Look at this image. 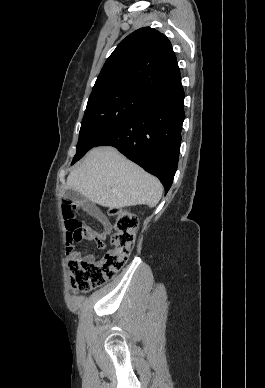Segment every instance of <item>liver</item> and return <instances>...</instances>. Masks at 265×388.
<instances>
[{"label":"liver","mask_w":265,"mask_h":388,"mask_svg":"<svg viewBox=\"0 0 265 388\" xmlns=\"http://www.w3.org/2000/svg\"><path fill=\"white\" fill-rule=\"evenodd\" d=\"M69 190L105 208L146 204L157 206L163 186L157 178L127 160L116 148L99 146L86 154L81 166L67 178Z\"/></svg>","instance_id":"6515ba94"}]
</instances>
